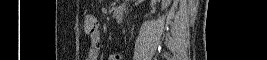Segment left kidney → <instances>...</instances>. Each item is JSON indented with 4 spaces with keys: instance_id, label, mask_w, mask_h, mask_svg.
<instances>
[{
    "instance_id": "1",
    "label": "left kidney",
    "mask_w": 267,
    "mask_h": 60,
    "mask_svg": "<svg viewBox=\"0 0 267 60\" xmlns=\"http://www.w3.org/2000/svg\"><path fill=\"white\" fill-rule=\"evenodd\" d=\"M171 4V0H162L161 3V11L165 10L168 8V6Z\"/></svg>"
}]
</instances>
